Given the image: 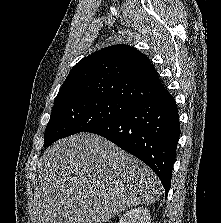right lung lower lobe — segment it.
<instances>
[{
    "label": "right lung lower lobe",
    "mask_w": 221,
    "mask_h": 223,
    "mask_svg": "<svg viewBox=\"0 0 221 223\" xmlns=\"http://www.w3.org/2000/svg\"><path fill=\"white\" fill-rule=\"evenodd\" d=\"M85 132L105 137L146 163L161 180L167 196L180 136L178 109L171 94L139 102Z\"/></svg>",
    "instance_id": "98d812e1"
}]
</instances>
